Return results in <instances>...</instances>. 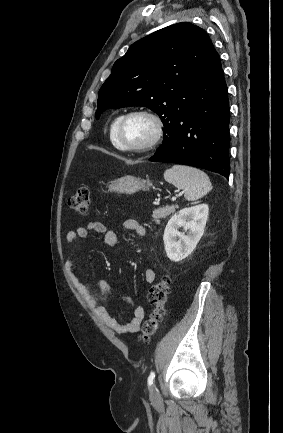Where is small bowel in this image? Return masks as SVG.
<instances>
[{
  "label": "small bowel",
  "mask_w": 283,
  "mask_h": 433,
  "mask_svg": "<svg viewBox=\"0 0 283 433\" xmlns=\"http://www.w3.org/2000/svg\"><path fill=\"white\" fill-rule=\"evenodd\" d=\"M123 226L126 230L134 231L139 237H145L147 234L146 228L138 223L135 219H127L124 221ZM90 232H96L104 236V242L109 246H116L119 243L118 235L115 231L108 229L104 224L98 221H90L84 226H80L73 231H69L66 234L65 240L68 245H73L80 239H86ZM67 272L69 278L77 290V292L82 295L86 300L92 311L96 316L110 329L119 333L127 334L137 332L141 326V323L145 316V309L140 305H134L132 300L127 296H120V299L130 305L133 308L132 318L121 324L118 322L108 310L99 303V300L94 296L87 285H85L80 279L75 266L73 256H69L66 261ZM144 277L147 283H153L156 278V273L153 269L148 268L144 273ZM100 297H104L109 292H111V286L106 281H101L99 283Z\"/></svg>",
  "instance_id": "1"
}]
</instances>
